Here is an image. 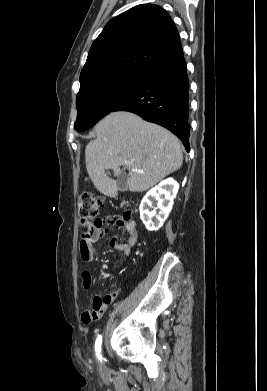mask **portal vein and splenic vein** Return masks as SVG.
Instances as JSON below:
<instances>
[{
	"label": "portal vein and splenic vein",
	"instance_id": "18ae733b",
	"mask_svg": "<svg viewBox=\"0 0 267 391\" xmlns=\"http://www.w3.org/2000/svg\"><path fill=\"white\" fill-rule=\"evenodd\" d=\"M125 164H128V162H125ZM134 172H139V173H141L142 171H140V170H137V169H134L133 170Z\"/></svg>",
	"mask_w": 267,
	"mask_h": 391
}]
</instances>
